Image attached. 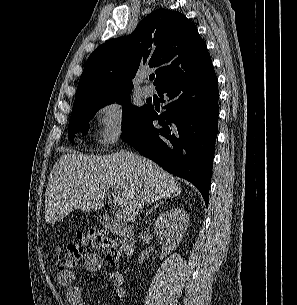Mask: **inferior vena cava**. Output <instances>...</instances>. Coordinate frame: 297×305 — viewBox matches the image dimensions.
<instances>
[{"label":"inferior vena cava","instance_id":"602c4592","mask_svg":"<svg viewBox=\"0 0 297 305\" xmlns=\"http://www.w3.org/2000/svg\"><path fill=\"white\" fill-rule=\"evenodd\" d=\"M127 155H128V157L130 158V160H131V164L137 165V166H138V161H137V159L135 158V156H134L132 153H128ZM142 198H143V194H140V199H142ZM143 204H144V201L142 200V201L140 202V204H139L140 209H142V205H143Z\"/></svg>","mask_w":297,"mask_h":305}]
</instances>
